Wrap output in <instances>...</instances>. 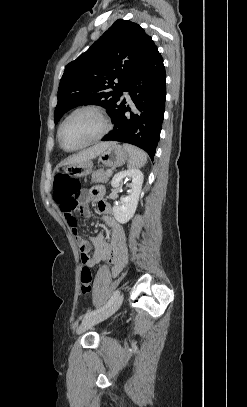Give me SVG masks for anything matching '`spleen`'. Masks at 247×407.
Instances as JSON below:
<instances>
[{
  "mask_svg": "<svg viewBox=\"0 0 247 407\" xmlns=\"http://www.w3.org/2000/svg\"><path fill=\"white\" fill-rule=\"evenodd\" d=\"M123 147L129 153L128 168H141L145 165V163L147 162V155L143 150L129 144H123Z\"/></svg>",
  "mask_w": 247,
  "mask_h": 407,
  "instance_id": "spleen-1",
  "label": "spleen"
}]
</instances>
